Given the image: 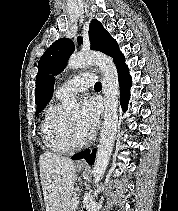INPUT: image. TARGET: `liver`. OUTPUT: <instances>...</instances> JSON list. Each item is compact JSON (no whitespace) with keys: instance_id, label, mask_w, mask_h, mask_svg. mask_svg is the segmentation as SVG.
Returning <instances> with one entry per match:
<instances>
[{"instance_id":"liver-1","label":"liver","mask_w":178,"mask_h":211,"mask_svg":"<svg viewBox=\"0 0 178 211\" xmlns=\"http://www.w3.org/2000/svg\"><path fill=\"white\" fill-rule=\"evenodd\" d=\"M39 166L46 211H67L76 181L74 162L45 152L40 155Z\"/></svg>"}]
</instances>
